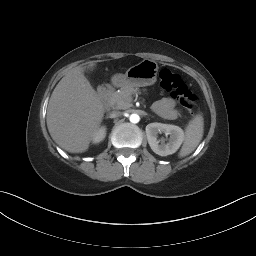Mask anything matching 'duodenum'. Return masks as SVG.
<instances>
[{
	"label": "duodenum",
	"mask_w": 256,
	"mask_h": 256,
	"mask_svg": "<svg viewBox=\"0 0 256 256\" xmlns=\"http://www.w3.org/2000/svg\"><path fill=\"white\" fill-rule=\"evenodd\" d=\"M110 91H111L110 86L100 87L98 94H99L100 100L103 104H106L108 102Z\"/></svg>",
	"instance_id": "1"
}]
</instances>
